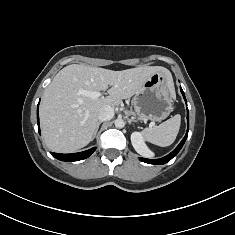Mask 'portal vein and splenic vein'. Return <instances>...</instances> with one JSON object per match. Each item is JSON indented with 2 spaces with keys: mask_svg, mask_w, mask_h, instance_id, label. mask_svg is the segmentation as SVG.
Masks as SVG:
<instances>
[{
  "mask_svg": "<svg viewBox=\"0 0 235 235\" xmlns=\"http://www.w3.org/2000/svg\"><path fill=\"white\" fill-rule=\"evenodd\" d=\"M81 94L85 95V96H89L92 99H97L100 96H102V93L99 91H86V90H81L80 91Z\"/></svg>",
  "mask_w": 235,
  "mask_h": 235,
  "instance_id": "18ae733b",
  "label": "portal vein and splenic vein"
}]
</instances>
